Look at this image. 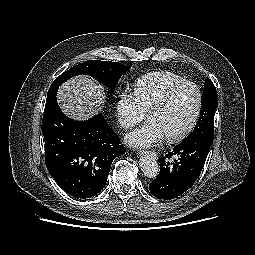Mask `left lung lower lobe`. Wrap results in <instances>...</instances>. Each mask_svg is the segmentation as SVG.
I'll list each match as a JSON object with an SVG mask.
<instances>
[{"label": "left lung lower lobe", "instance_id": "1", "mask_svg": "<svg viewBox=\"0 0 255 255\" xmlns=\"http://www.w3.org/2000/svg\"><path fill=\"white\" fill-rule=\"evenodd\" d=\"M214 134H200L184 140L159 159L160 174L149 184L150 192L160 199H174L195 183L205 164ZM172 156L178 159L170 162Z\"/></svg>", "mask_w": 255, "mask_h": 255}]
</instances>
